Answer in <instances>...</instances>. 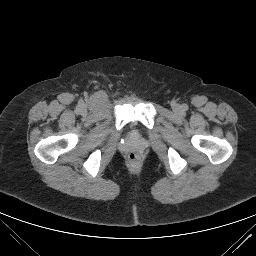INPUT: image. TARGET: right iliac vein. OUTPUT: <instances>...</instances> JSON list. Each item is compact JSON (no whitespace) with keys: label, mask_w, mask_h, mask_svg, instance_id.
Instances as JSON below:
<instances>
[{"label":"right iliac vein","mask_w":256,"mask_h":256,"mask_svg":"<svg viewBox=\"0 0 256 256\" xmlns=\"http://www.w3.org/2000/svg\"><path fill=\"white\" fill-rule=\"evenodd\" d=\"M81 113H82V114H85V113H86L85 107H81Z\"/></svg>","instance_id":"63e3f726"}]
</instances>
